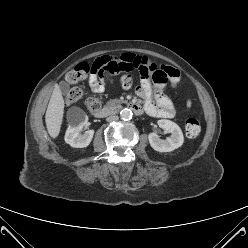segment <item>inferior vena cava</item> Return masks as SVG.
<instances>
[{"label": "inferior vena cava", "mask_w": 248, "mask_h": 248, "mask_svg": "<svg viewBox=\"0 0 248 248\" xmlns=\"http://www.w3.org/2000/svg\"><path fill=\"white\" fill-rule=\"evenodd\" d=\"M106 120H107L108 122L116 121V120H118V116L112 115V116H109Z\"/></svg>", "instance_id": "inferior-vena-cava-1"}]
</instances>
